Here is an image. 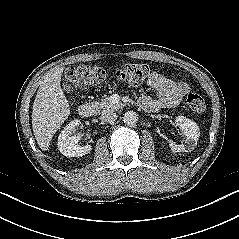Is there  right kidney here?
<instances>
[{
  "label": "right kidney",
  "mask_w": 239,
  "mask_h": 239,
  "mask_svg": "<svg viewBox=\"0 0 239 239\" xmlns=\"http://www.w3.org/2000/svg\"><path fill=\"white\" fill-rule=\"evenodd\" d=\"M80 125V121L75 119L64 127V130L58 137V149L66 157H77L88 154L91 151V145L80 146L78 136H71L72 131Z\"/></svg>",
  "instance_id": "1"
}]
</instances>
